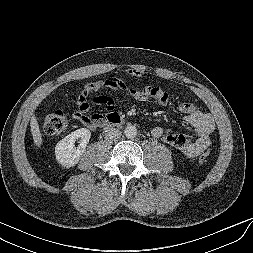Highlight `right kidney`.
I'll list each match as a JSON object with an SVG mask.
<instances>
[{"label":"right kidney","mask_w":253,"mask_h":253,"mask_svg":"<svg viewBox=\"0 0 253 253\" xmlns=\"http://www.w3.org/2000/svg\"><path fill=\"white\" fill-rule=\"evenodd\" d=\"M91 132L87 128H80L60 140L55 147L57 162L64 168L75 166L90 140ZM80 139L78 147L74 146L76 140Z\"/></svg>","instance_id":"ca27d5eb"}]
</instances>
